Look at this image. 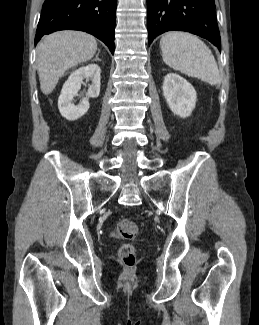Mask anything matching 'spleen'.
Wrapping results in <instances>:
<instances>
[{"label": "spleen", "instance_id": "3e777b00", "mask_svg": "<svg viewBox=\"0 0 259 325\" xmlns=\"http://www.w3.org/2000/svg\"><path fill=\"white\" fill-rule=\"evenodd\" d=\"M163 61L174 70L217 85L219 70L209 47L185 32H169L160 40Z\"/></svg>", "mask_w": 259, "mask_h": 325}]
</instances>
